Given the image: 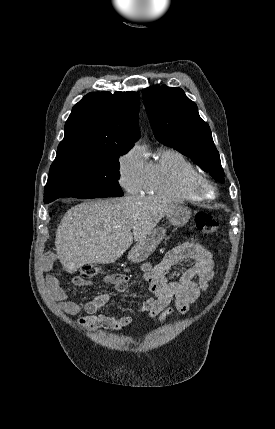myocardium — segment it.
Here are the masks:
<instances>
[{"label":"myocardium","instance_id":"obj_1","mask_svg":"<svg viewBox=\"0 0 275 429\" xmlns=\"http://www.w3.org/2000/svg\"><path fill=\"white\" fill-rule=\"evenodd\" d=\"M192 191L200 200L210 201L217 197L215 183L203 174H199L193 179Z\"/></svg>","mask_w":275,"mask_h":429}]
</instances>
